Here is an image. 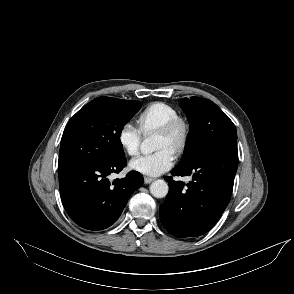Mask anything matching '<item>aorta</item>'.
I'll list each match as a JSON object with an SVG mask.
<instances>
[{
	"instance_id": "762f6f07",
	"label": "aorta",
	"mask_w": 294,
	"mask_h": 294,
	"mask_svg": "<svg viewBox=\"0 0 294 294\" xmlns=\"http://www.w3.org/2000/svg\"><path fill=\"white\" fill-rule=\"evenodd\" d=\"M141 149L144 153H152L157 149V136L146 137L141 143ZM168 184L161 179L154 181L150 185V192L156 198H163L168 194Z\"/></svg>"
}]
</instances>
